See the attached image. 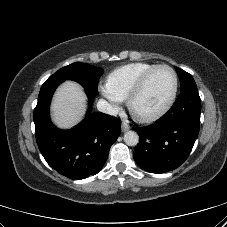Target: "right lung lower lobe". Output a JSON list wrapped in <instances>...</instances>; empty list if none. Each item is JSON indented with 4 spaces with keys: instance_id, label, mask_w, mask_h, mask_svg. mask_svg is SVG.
Returning <instances> with one entry per match:
<instances>
[{
    "instance_id": "right-lung-lower-lobe-1",
    "label": "right lung lower lobe",
    "mask_w": 227,
    "mask_h": 227,
    "mask_svg": "<svg viewBox=\"0 0 227 227\" xmlns=\"http://www.w3.org/2000/svg\"><path fill=\"white\" fill-rule=\"evenodd\" d=\"M60 83H44L41 87L33 115L36 141L53 169L70 179H84L102 169L111 145L120 135V122L116 117L88 111L74 128L57 129L50 120L49 106ZM86 93L91 104L95 94Z\"/></svg>"
}]
</instances>
